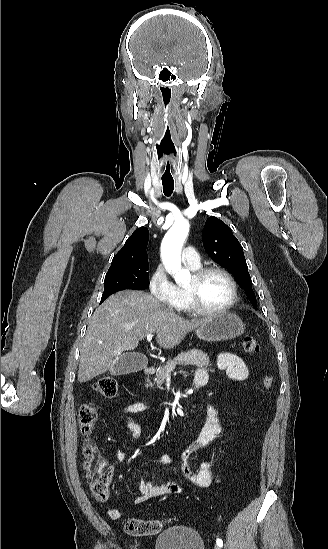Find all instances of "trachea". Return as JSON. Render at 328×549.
Masks as SVG:
<instances>
[{"label":"trachea","instance_id":"1","mask_svg":"<svg viewBox=\"0 0 328 549\" xmlns=\"http://www.w3.org/2000/svg\"><path fill=\"white\" fill-rule=\"evenodd\" d=\"M163 192L169 197L174 190V181L173 180H162Z\"/></svg>","mask_w":328,"mask_h":549}]
</instances>
